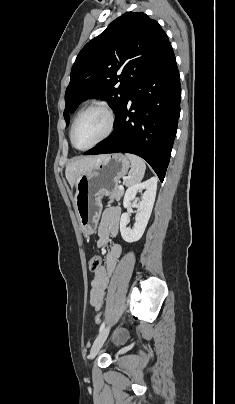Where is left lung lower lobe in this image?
<instances>
[{
	"instance_id": "obj_1",
	"label": "left lung lower lobe",
	"mask_w": 235,
	"mask_h": 404,
	"mask_svg": "<svg viewBox=\"0 0 235 404\" xmlns=\"http://www.w3.org/2000/svg\"><path fill=\"white\" fill-rule=\"evenodd\" d=\"M180 77L171 44L139 76L117 113L113 133L84 153L125 152L145 159L162 182L180 114Z\"/></svg>"
}]
</instances>
